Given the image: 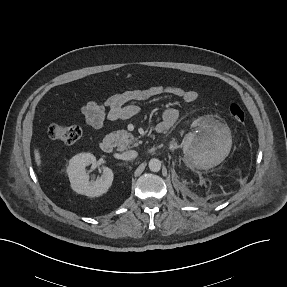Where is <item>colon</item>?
I'll return each instance as SVG.
<instances>
[{
    "instance_id": "colon-1",
    "label": "colon",
    "mask_w": 287,
    "mask_h": 287,
    "mask_svg": "<svg viewBox=\"0 0 287 287\" xmlns=\"http://www.w3.org/2000/svg\"><path fill=\"white\" fill-rule=\"evenodd\" d=\"M228 112L230 116L237 122L243 123L245 121V111L238 103L229 105ZM49 137L53 140L59 141L66 145H71L77 142L82 135V130L77 125H59L52 124L48 131Z\"/></svg>"
}]
</instances>
